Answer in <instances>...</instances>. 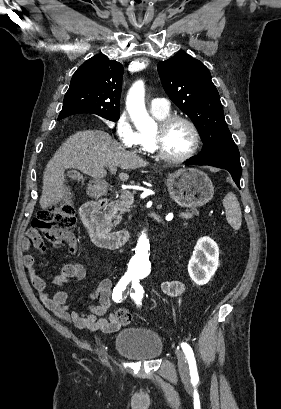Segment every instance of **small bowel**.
I'll list each match as a JSON object with an SVG mask.
<instances>
[{
    "instance_id": "c3829d8e",
    "label": "small bowel",
    "mask_w": 281,
    "mask_h": 409,
    "mask_svg": "<svg viewBox=\"0 0 281 409\" xmlns=\"http://www.w3.org/2000/svg\"><path fill=\"white\" fill-rule=\"evenodd\" d=\"M31 243L37 252H44L46 249L42 239L39 238L37 231L30 229L27 237L22 241V248L28 251ZM24 265L30 277L31 283L38 293L40 300L54 314L64 321L73 324L79 329L89 331H100L103 333H115L120 330L123 323L116 317L117 311H127L125 308H119L115 312L106 315L112 304V294L115 288V282L111 279L102 280L92 291H89L85 298L96 300L97 304H89L84 311H78L68 303V294L65 291H58L50 294L46 282L37 274L35 269L34 257L31 254H25ZM85 276V268L82 263L66 264L52 278V284L62 286L68 283L81 281ZM162 291L171 297H178L184 293L185 286L179 280H169L162 283Z\"/></svg>"
}]
</instances>
